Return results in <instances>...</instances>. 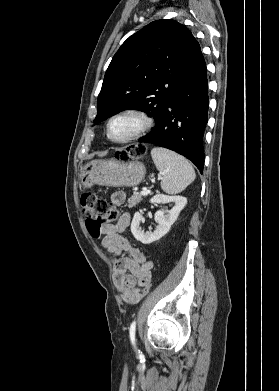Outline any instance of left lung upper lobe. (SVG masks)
<instances>
[{
  "label": "left lung upper lobe",
  "mask_w": 279,
  "mask_h": 391,
  "mask_svg": "<svg viewBox=\"0 0 279 391\" xmlns=\"http://www.w3.org/2000/svg\"><path fill=\"white\" fill-rule=\"evenodd\" d=\"M202 56L192 33L174 20L151 22L114 55L98 95L101 122L120 111L140 110L155 119Z\"/></svg>",
  "instance_id": "1"
}]
</instances>
